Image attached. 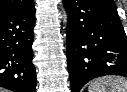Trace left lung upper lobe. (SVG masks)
I'll return each mask as SVG.
<instances>
[{
  "label": "left lung upper lobe",
  "instance_id": "left-lung-upper-lobe-1",
  "mask_svg": "<svg viewBox=\"0 0 127 92\" xmlns=\"http://www.w3.org/2000/svg\"><path fill=\"white\" fill-rule=\"evenodd\" d=\"M100 1H104V2H107V3H110V4H115L113 0H100Z\"/></svg>",
  "mask_w": 127,
  "mask_h": 92
}]
</instances>
